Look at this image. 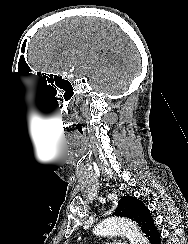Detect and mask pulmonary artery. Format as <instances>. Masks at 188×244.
Wrapping results in <instances>:
<instances>
[{
  "label": "pulmonary artery",
  "mask_w": 188,
  "mask_h": 244,
  "mask_svg": "<svg viewBox=\"0 0 188 244\" xmlns=\"http://www.w3.org/2000/svg\"><path fill=\"white\" fill-rule=\"evenodd\" d=\"M107 244H124V243H120V242H111V243H107Z\"/></svg>",
  "instance_id": "obj_1"
}]
</instances>
